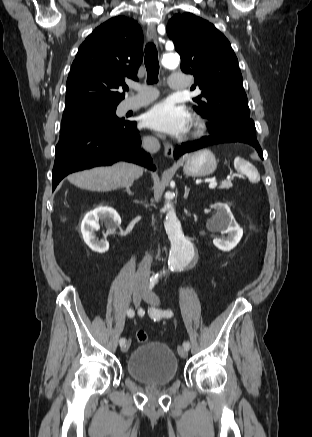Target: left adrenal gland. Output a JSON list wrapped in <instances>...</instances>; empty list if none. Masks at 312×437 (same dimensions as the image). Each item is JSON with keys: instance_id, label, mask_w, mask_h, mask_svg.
<instances>
[{"instance_id": "1", "label": "left adrenal gland", "mask_w": 312, "mask_h": 437, "mask_svg": "<svg viewBox=\"0 0 312 437\" xmlns=\"http://www.w3.org/2000/svg\"><path fill=\"white\" fill-rule=\"evenodd\" d=\"M189 191H190V189L187 186H185V193H184V198L185 199H187Z\"/></svg>"}]
</instances>
